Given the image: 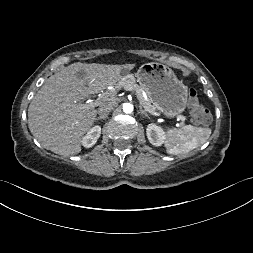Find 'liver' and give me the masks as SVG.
I'll return each mask as SVG.
<instances>
[{
	"label": "liver",
	"instance_id": "6515ba94",
	"mask_svg": "<svg viewBox=\"0 0 253 253\" xmlns=\"http://www.w3.org/2000/svg\"><path fill=\"white\" fill-rule=\"evenodd\" d=\"M134 64L73 63L48 78L28 108V126L41 145L60 155L81 151L82 138L96 119L95 106L83 104L90 94L103 92ZM109 102L101 101L99 106ZM98 106V105H97Z\"/></svg>",
	"mask_w": 253,
	"mask_h": 253
}]
</instances>
